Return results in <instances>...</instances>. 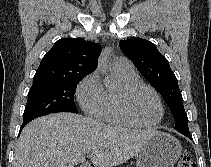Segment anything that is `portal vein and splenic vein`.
Masks as SVG:
<instances>
[{"mask_svg": "<svg viewBox=\"0 0 211 167\" xmlns=\"http://www.w3.org/2000/svg\"><path fill=\"white\" fill-rule=\"evenodd\" d=\"M87 157L92 158L93 157V154L92 153H88L87 154Z\"/></svg>", "mask_w": 211, "mask_h": 167, "instance_id": "1", "label": "portal vein and splenic vein"}]
</instances>
